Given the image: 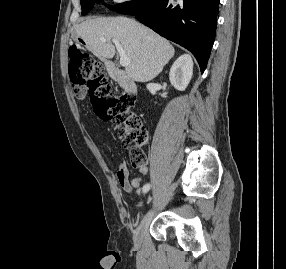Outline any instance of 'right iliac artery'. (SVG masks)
I'll return each instance as SVG.
<instances>
[{
	"instance_id": "1",
	"label": "right iliac artery",
	"mask_w": 286,
	"mask_h": 269,
	"mask_svg": "<svg viewBox=\"0 0 286 269\" xmlns=\"http://www.w3.org/2000/svg\"><path fill=\"white\" fill-rule=\"evenodd\" d=\"M149 189H150V184H149V183L145 184V185L143 186V188H142V190H143L144 193L148 192Z\"/></svg>"
}]
</instances>
